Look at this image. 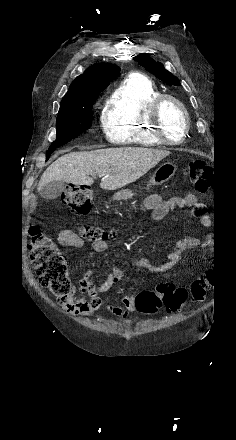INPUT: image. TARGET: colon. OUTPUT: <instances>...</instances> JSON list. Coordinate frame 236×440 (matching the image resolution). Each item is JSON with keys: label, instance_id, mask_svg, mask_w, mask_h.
Instances as JSON below:
<instances>
[{"label": "colon", "instance_id": "obj_1", "mask_svg": "<svg viewBox=\"0 0 236 440\" xmlns=\"http://www.w3.org/2000/svg\"><path fill=\"white\" fill-rule=\"evenodd\" d=\"M187 172L192 183L200 192L212 186V169L204 161L190 160ZM92 190L89 186H68L63 193V201L75 214L84 215L90 211ZM81 235L92 241L107 240L112 232L87 225L80 228ZM30 262L39 277L41 285L49 288L63 304L73 293L69 279L70 265L66 256L57 248L52 239L43 234L37 226L30 229ZM221 276H200L190 288L193 300L202 302L208 290L207 285H221ZM189 292L184 287L161 283L156 291H142L136 298V308L144 314H155L160 308L169 312L180 310L186 303Z\"/></svg>", "mask_w": 236, "mask_h": 440}]
</instances>
